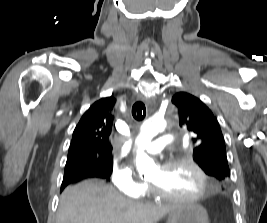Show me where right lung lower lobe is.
Wrapping results in <instances>:
<instances>
[{"label": "right lung lower lobe", "mask_w": 267, "mask_h": 223, "mask_svg": "<svg viewBox=\"0 0 267 223\" xmlns=\"http://www.w3.org/2000/svg\"><path fill=\"white\" fill-rule=\"evenodd\" d=\"M92 177H97V178H102V175L96 173V172H91V171H83V170H74L70 172H64V178L63 182L61 185V191L69 184L85 179V178H92Z\"/></svg>", "instance_id": "1"}]
</instances>
